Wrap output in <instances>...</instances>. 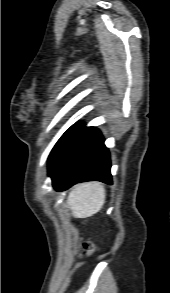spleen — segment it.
<instances>
[{
  "mask_svg": "<svg viewBox=\"0 0 170 293\" xmlns=\"http://www.w3.org/2000/svg\"><path fill=\"white\" fill-rule=\"evenodd\" d=\"M105 198V188L101 183H82L73 187L69 193L67 207L75 218H87L101 210Z\"/></svg>",
  "mask_w": 170,
  "mask_h": 293,
  "instance_id": "obj_1",
  "label": "spleen"
}]
</instances>
